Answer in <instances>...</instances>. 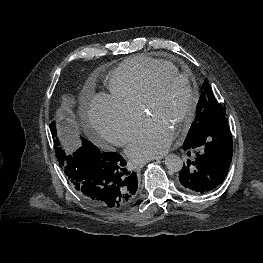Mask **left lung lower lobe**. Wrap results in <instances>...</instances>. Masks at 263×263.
Returning a JSON list of instances; mask_svg holds the SVG:
<instances>
[{"instance_id": "obj_1", "label": "left lung lower lobe", "mask_w": 263, "mask_h": 263, "mask_svg": "<svg viewBox=\"0 0 263 263\" xmlns=\"http://www.w3.org/2000/svg\"><path fill=\"white\" fill-rule=\"evenodd\" d=\"M233 141L226 117L211 122L200 134L186 137L183 150L190 158L183 164L179 181L188 191L205 194L227 176Z\"/></svg>"}]
</instances>
